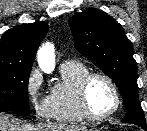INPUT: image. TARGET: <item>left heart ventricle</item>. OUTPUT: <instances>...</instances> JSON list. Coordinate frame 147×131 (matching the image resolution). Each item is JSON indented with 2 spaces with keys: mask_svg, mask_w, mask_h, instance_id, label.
I'll use <instances>...</instances> for the list:
<instances>
[{
  "mask_svg": "<svg viewBox=\"0 0 147 131\" xmlns=\"http://www.w3.org/2000/svg\"><path fill=\"white\" fill-rule=\"evenodd\" d=\"M88 104L95 115L108 113L115 104L114 93L110 85L102 78H95L88 88Z\"/></svg>",
  "mask_w": 147,
  "mask_h": 131,
  "instance_id": "obj_1",
  "label": "left heart ventricle"
}]
</instances>
